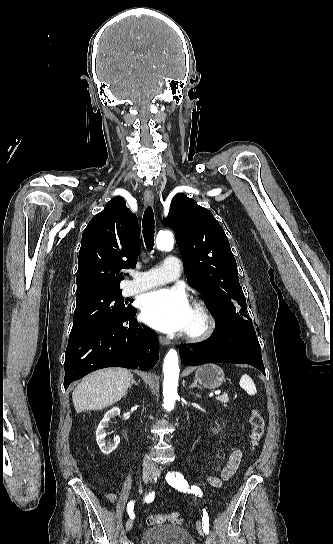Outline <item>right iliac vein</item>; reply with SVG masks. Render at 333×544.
I'll use <instances>...</instances> for the list:
<instances>
[{
	"label": "right iliac vein",
	"instance_id": "obj_1",
	"mask_svg": "<svg viewBox=\"0 0 333 544\" xmlns=\"http://www.w3.org/2000/svg\"><path fill=\"white\" fill-rule=\"evenodd\" d=\"M152 473H153V472H152V470H150V469H145V470L143 471V481H144L145 483H148V482H149V480L151 479ZM132 526H133V519L130 518V519H128L127 522H126V530H127V531H130V530L132 529Z\"/></svg>",
	"mask_w": 333,
	"mask_h": 544
}]
</instances>
